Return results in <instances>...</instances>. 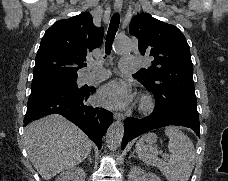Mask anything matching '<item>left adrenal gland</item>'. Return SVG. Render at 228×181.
Instances as JSON below:
<instances>
[{
	"instance_id": "left-adrenal-gland-1",
	"label": "left adrenal gland",
	"mask_w": 228,
	"mask_h": 181,
	"mask_svg": "<svg viewBox=\"0 0 228 181\" xmlns=\"http://www.w3.org/2000/svg\"><path fill=\"white\" fill-rule=\"evenodd\" d=\"M131 157H135L134 153H133V155H130L129 159H131Z\"/></svg>"
}]
</instances>
